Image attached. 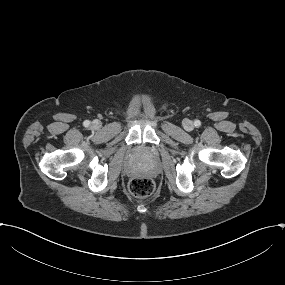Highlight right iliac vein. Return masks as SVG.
<instances>
[{
  "instance_id": "obj_1",
  "label": "right iliac vein",
  "mask_w": 285,
  "mask_h": 285,
  "mask_svg": "<svg viewBox=\"0 0 285 285\" xmlns=\"http://www.w3.org/2000/svg\"><path fill=\"white\" fill-rule=\"evenodd\" d=\"M91 126L94 128V129H99L101 127V123L100 121L98 120H95L92 122Z\"/></svg>"
}]
</instances>
